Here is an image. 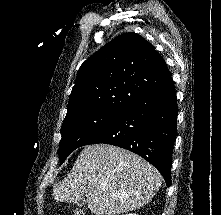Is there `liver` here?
Segmentation results:
<instances>
[{
	"mask_svg": "<svg viewBox=\"0 0 221 215\" xmlns=\"http://www.w3.org/2000/svg\"><path fill=\"white\" fill-rule=\"evenodd\" d=\"M161 183L159 171L137 154L96 144L84 147L71 172L52 191L60 202H77L85 196L96 215H119L148 204Z\"/></svg>",
	"mask_w": 221,
	"mask_h": 215,
	"instance_id": "obj_1",
	"label": "liver"
}]
</instances>
